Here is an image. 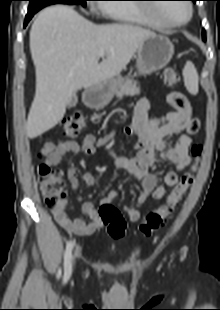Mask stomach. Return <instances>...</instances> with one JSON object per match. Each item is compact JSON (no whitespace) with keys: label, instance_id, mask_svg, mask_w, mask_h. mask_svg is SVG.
<instances>
[{"label":"stomach","instance_id":"1","mask_svg":"<svg viewBox=\"0 0 220 310\" xmlns=\"http://www.w3.org/2000/svg\"><path fill=\"white\" fill-rule=\"evenodd\" d=\"M173 54L174 46L166 36L154 35L145 38L137 49L138 73L147 75L164 68ZM122 82L123 79L118 77L87 89L84 94V102L95 108L105 106L112 99Z\"/></svg>","mask_w":220,"mask_h":310}]
</instances>
